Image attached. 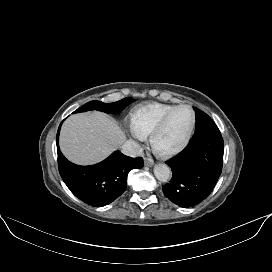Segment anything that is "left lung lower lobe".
<instances>
[{
    "label": "left lung lower lobe",
    "instance_id": "0a47b994",
    "mask_svg": "<svg viewBox=\"0 0 272 272\" xmlns=\"http://www.w3.org/2000/svg\"><path fill=\"white\" fill-rule=\"evenodd\" d=\"M223 152L218 127L193 136L183 152L168 162L173 177L162 187L165 196L184 208L207 198L221 174Z\"/></svg>",
    "mask_w": 272,
    "mask_h": 272
}]
</instances>
